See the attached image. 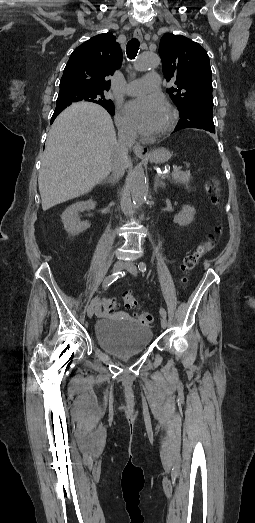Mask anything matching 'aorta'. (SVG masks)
Here are the masks:
<instances>
[{
    "label": "aorta",
    "mask_w": 255,
    "mask_h": 523,
    "mask_svg": "<svg viewBox=\"0 0 255 523\" xmlns=\"http://www.w3.org/2000/svg\"><path fill=\"white\" fill-rule=\"evenodd\" d=\"M160 64V58L157 54L146 52L141 54L135 64L134 68L137 71H145L156 68ZM147 191V183L144 169L141 165H137L131 175V197L136 205H142Z\"/></svg>",
    "instance_id": "aorta-1"
}]
</instances>
